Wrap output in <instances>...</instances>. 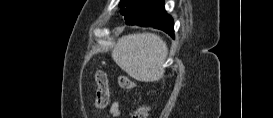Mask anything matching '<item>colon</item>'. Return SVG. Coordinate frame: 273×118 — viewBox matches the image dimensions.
Returning a JSON list of instances; mask_svg holds the SVG:
<instances>
[{
	"label": "colon",
	"mask_w": 273,
	"mask_h": 118,
	"mask_svg": "<svg viewBox=\"0 0 273 118\" xmlns=\"http://www.w3.org/2000/svg\"><path fill=\"white\" fill-rule=\"evenodd\" d=\"M96 94L95 107L98 109L105 108L109 103V85L107 75L104 71L98 70L95 74ZM118 84L122 89L131 90L135 86V82L128 76H120ZM147 109L143 105H139L133 114V118H147Z\"/></svg>",
	"instance_id": "obj_1"
}]
</instances>
